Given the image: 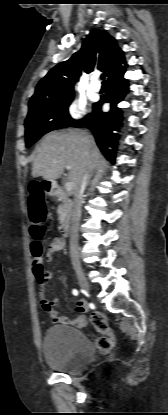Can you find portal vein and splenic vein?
Masks as SVG:
<instances>
[{
	"label": "portal vein and splenic vein",
	"instance_id": "obj_1",
	"mask_svg": "<svg viewBox=\"0 0 168 415\" xmlns=\"http://www.w3.org/2000/svg\"><path fill=\"white\" fill-rule=\"evenodd\" d=\"M66 169L70 170V167L69 166H66ZM72 188H73L72 182H66V184H65L66 191H71Z\"/></svg>",
	"mask_w": 168,
	"mask_h": 415
}]
</instances>
